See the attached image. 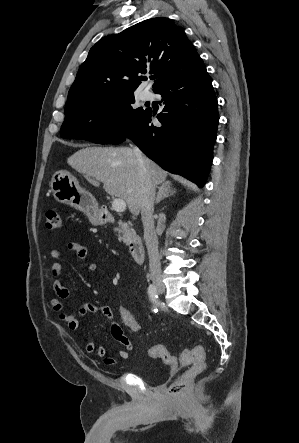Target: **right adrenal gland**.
Returning a JSON list of instances; mask_svg holds the SVG:
<instances>
[{"label":"right adrenal gland","instance_id":"1","mask_svg":"<svg viewBox=\"0 0 299 443\" xmlns=\"http://www.w3.org/2000/svg\"><path fill=\"white\" fill-rule=\"evenodd\" d=\"M175 193L176 190L172 188V183L170 181L163 182L158 188V193L155 199L156 204L167 197L173 196Z\"/></svg>","mask_w":299,"mask_h":443}]
</instances>
